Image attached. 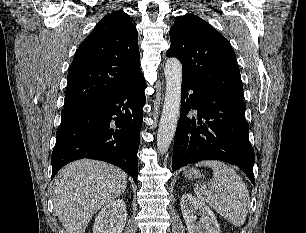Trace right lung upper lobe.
<instances>
[{"instance_id": "right-lung-upper-lobe-1", "label": "right lung upper lobe", "mask_w": 306, "mask_h": 233, "mask_svg": "<svg viewBox=\"0 0 306 233\" xmlns=\"http://www.w3.org/2000/svg\"><path fill=\"white\" fill-rule=\"evenodd\" d=\"M141 74L138 33L130 16L122 10L107 14L75 53L64 109L112 97Z\"/></svg>"}]
</instances>
